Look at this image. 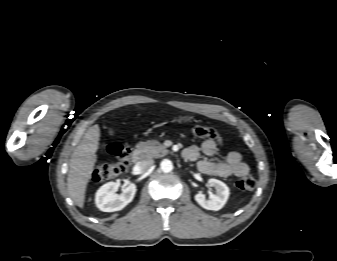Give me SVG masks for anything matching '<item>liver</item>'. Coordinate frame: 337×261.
<instances>
[{"instance_id":"1","label":"liver","mask_w":337,"mask_h":261,"mask_svg":"<svg viewBox=\"0 0 337 261\" xmlns=\"http://www.w3.org/2000/svg\"><path fill=\"white\" fill-rule=\"evenodd\" d=\"M99 140L100 128L96 124L86 131L69 163L68 194L80 208L84 207L87 184L97 161L96 152L99 148Z\"/></svg>"}]
</instances>
